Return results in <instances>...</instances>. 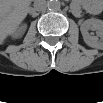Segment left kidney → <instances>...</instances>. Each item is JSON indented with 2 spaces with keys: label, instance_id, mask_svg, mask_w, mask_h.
<instances>
[{
  "label": "left kidney",
  "instance_id": "1",
  "mask_svg": "<svg viewBox=\"0 0 103 103\" xmlns=\"http://www.w3.org/2000/svg\"><path fill=\"white\" fill-rule=\"evenodd\" d=\"M89 28L96 29L97 34L100 38L98 36L90 35L88 32ZM80 30L83 36V40L88 46L97 49H101L103 47V40H102L103 21L102 20L96 18L88 19L83 22V24L80 27Z\"/></svg>",
  "mask_w": 103,
  "mask_h": 103
}]
</instances>
